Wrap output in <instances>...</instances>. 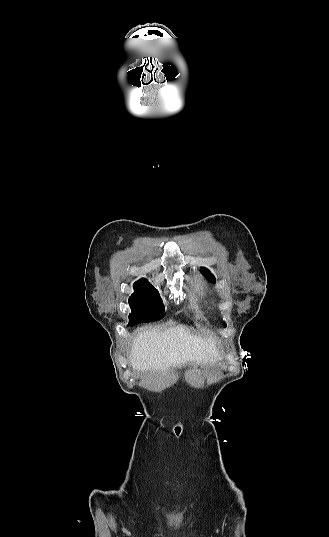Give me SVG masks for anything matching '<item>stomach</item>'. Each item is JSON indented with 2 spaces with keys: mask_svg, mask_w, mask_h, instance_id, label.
I'll list each match as a JSON object with an SVG mask.
<instances>
[{
  "mask_svg": "<svg viewBox=\"0 0 329 537\" xmlns=\"http://www.w3.org/2000/svg\"><path fill=\"white\" fill-rule=\"evenodd\" d=\"M222 364H223V363H222L221 360H217V361L215 362V365H217V366H221Z\"/></svg>",
  "mask_w": 329,
  "mask_h": 537,
  "instance_id": "stomach-1",
  "label": "stomach"
}]
</instances>
